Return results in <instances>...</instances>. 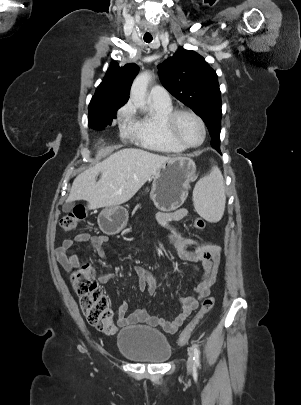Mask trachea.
Listing matches in <instances>:
<instances>
[{
  "label": "trachea",
  "mask_w": 301,
  "mask_h": 405,
  "mask_svg": "<svg viewBox=\"0 0 301 405\" xmlns=\"http://www.w3.org/2000/svg\"><path fill=\"white\" fill-rule=\"evenodd\" d=\"M153 40V37L151 35L149 36H144V41L147 43H150Z\"/></svg>",
  "instance_id": "1"
}]
</instances>
